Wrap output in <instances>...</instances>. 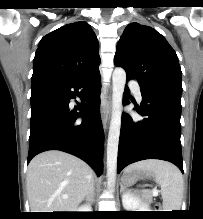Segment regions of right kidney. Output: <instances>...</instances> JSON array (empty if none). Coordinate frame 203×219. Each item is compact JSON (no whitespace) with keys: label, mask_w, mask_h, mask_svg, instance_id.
Returning <instances> with one entry per match:
<instances>
[{"label":"right kidney","mask_w":203,"mask_h":219,"mask_svg":"<svg viewBox=\"0 0 203 219\" xmlns=\"http://www.w3.org/2000/svg\"><path fill=\"white\" fill-rule=\"evenodd\" d=\"M91 207L90 205H84V206H80L79 208H77L76 210H74V212H91Z\"/></svg>","instance_id":"1"}]
</instances>
